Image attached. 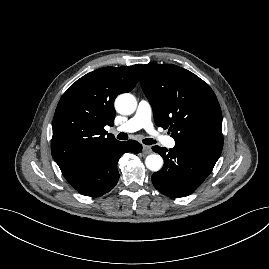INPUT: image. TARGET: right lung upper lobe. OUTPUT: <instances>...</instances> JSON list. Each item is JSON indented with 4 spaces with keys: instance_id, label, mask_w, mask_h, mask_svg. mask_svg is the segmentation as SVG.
I'll return each mask as SVG.
<instances>
[{
    "instance_id": "right-lung-upper-lobe-1",
    "label": "right lung upper lobe",
    "mask_w": 269,
    "mask_h": 269,
    "mask_svg": "<svg viewBox=\"0 0 269 269\" xmlns=\"http://www.w3.org/2000/svg\"><path fill=\"white\" fill-rule=\"evenodd\" d=\"M141 67L100 68L78 79L63 94L53 118L51 143L61 170L118 141L104 126L113 125L114 100L135 87Z\"/></svg>"
}]
</instances>
